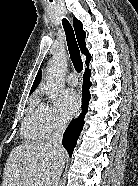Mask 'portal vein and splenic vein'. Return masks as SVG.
I'll return each instance as SVG.
<instances>
[{
	"instance_id": "portal-vein-and-splenic-vein-1",
	"label": "portal vein and splenic vein",
	"mask_w": 138,
	"mask_h": 186,
	"mask_svg": "<svg viewBox=\"0 0 138 186\" xmlns=\"http://www.w3.org/2000/svg\"><path fill=\"white\" fill-rule=\"evenodd\" d=\"M35 186H43V182L38 181V182L35 183Z\"/></svg>"
}]
</instances>
